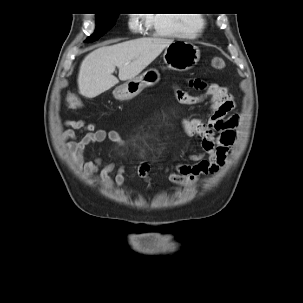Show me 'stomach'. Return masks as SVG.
<instances>
[{
    "label": "stomach",
    "mask_w": 303,
    "mask_h": 303,
    "mask_svg": "<svg viewBox=\"0 0 303 303\" xmlns=\"http://www.w3.org/2000/svg\"><path fill=\"white\" fill-rule=\"evenodd\" d=\"M199 59V48L187 41H173L165 48L163 54V60L166 65L176 71L191 69ZM159 80V71L157 69H148L141 75L116 87L113 95L118 100H129L137 96L144 88L155 85Z\"/></svg>",
    "instance_id": "stomach-1"
}]
</instances>
